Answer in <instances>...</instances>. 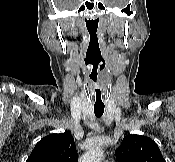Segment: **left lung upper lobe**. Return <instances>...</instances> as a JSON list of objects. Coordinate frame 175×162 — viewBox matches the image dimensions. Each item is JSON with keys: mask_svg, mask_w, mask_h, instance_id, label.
I'll list each match as a JSON object with an SVG mask.
<instances>
[{"mask_svg": "<svg viewBox=\"0 0 175 162\" xmlns=\"http://www.w3.org/2000/svg\"><path fill=\"white\" fill-rule=\"evenodd\" d=\"M115 155L119 162H166L151 138L136 134L124 137Z\"/></svg>", "mask_w": 175, "mask_h": 162, "instance_id": "1", "label": "left lung upper lobe"}]
</instances>
